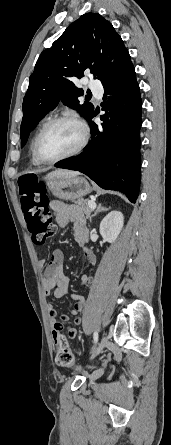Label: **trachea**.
<instances>
[{
  "label": "trachea",
  "mask_w": 171,
  "mask_h": 445,
  "mask_svg": "<svg viewBox=\"0 0 171 445\" xmlns=\"http://www.w3.org/2000/svg\"><path fill=\"white\" fill-rule=\"evenodd\" d=\"M87 97H91V94H89Z\"/></svg>",
  "instance_id": "3493384b"
}]
</instances>
